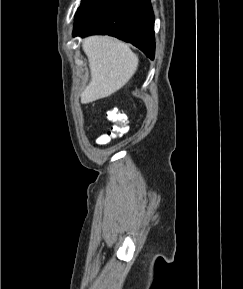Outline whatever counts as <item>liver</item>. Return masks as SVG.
<instances>
[{"label": "liver", "mask_w": 243, "mask_h": 289, "mask_svg": "<svg viewBox=\"0 0 243 289\" xmlns=\"http://www.w3.org/2000/svg\"><path fill=\"white\" fill-rule=\"evenodd\" d=\"M82 48L91 72V80L81 93L82 104L110 96L137 71L138 56L126 43L107 36H91L83 40Z\"/></svg>", "instance_id": "liver-1"}]
</instances>
